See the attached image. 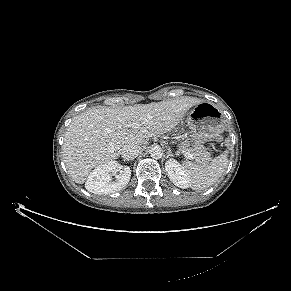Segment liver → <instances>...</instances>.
<instances>
[{"mask_svg": "<svg viewBox=\"0 0 291 291\" xmlns=\"http://www.w3.org/2000/svg\"><path fill=\"white\" fill-rule=\"evenodd\" d=\"M202 102L182 97L123 108H94L77 115L63 143L70 177L83 184L93 168L119 158L124 145H146L152 136L173 130L191 107Z\"/></svg>", "mask_w": 291, "mask_h": 291, "instance_id": "1", "label": "liver"}]
</instances>
